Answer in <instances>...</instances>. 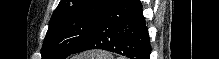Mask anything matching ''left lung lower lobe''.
Returning <instances> with one entry per match:
<instances>
[{"instance_id":"obj_1","label":"left lung lower lobe","mask_w":219,"mask_h":59,"mask_svg":"<svg viewBox=\"0 0 219 59\" xmlns=\"http://www.w3.org/2000/svg\"><path fill=\"white\" fill-rule=\"evenodd\" d=\"M102 49L130 59H150L148 28L139 0H113L93 34L74 52Z\"/></svg>"}]
</instances>
